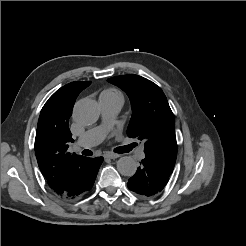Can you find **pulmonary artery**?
I'll return each mask as SVG.
<instances>
[{"instance_id": "pulmonary-artery-1", "label": "pulmonary artery", "mask_w": 246, "mask_h": 246, "mask_svg": "<svg viewBox=\"0 0 246 246\" xmlns=\"http://www.w3.org/2000/svg\"><path fill=\"white\" fill-rule=\"evenodd\" d=\"M101 113L104 124L111 122L123 105V99L120 97H109L101 95L99 98ZM105 125L96 127L86 131L77 141V145L83 148H91L99 144L105 136ZM139 160L145 158L143 149H139L136 153Z\"/></svg>"}]
</instances>
